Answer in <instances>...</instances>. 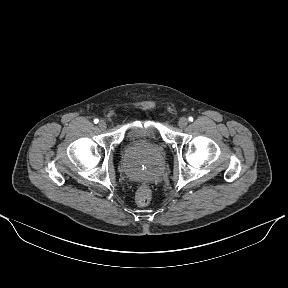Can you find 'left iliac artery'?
Segmentation results:
<instances>
[{"label":"left iliac artery","mask_w":288,"mask_h":288,"mask_svg":"<svg viewBox=\"0 0 288 288\" xmlns=\"http://www.w3.org/2000/svg\"><path fill=\"white\" fill-rule=\"evenodd\" d=\"M188 119H189L190 122L193 121V117H191V116Z\"/></svg>","instance_id":"1"}]
</instances>
